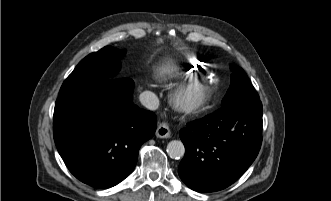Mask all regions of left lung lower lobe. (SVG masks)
Segmentation results:
<instances>
[{
  "label": "left lung lower lobe",
  "instance_id": "left-lung-lower-lobe-1",
  "mask_svg": "<svg viewBox=\"0 0 331 201\" xmlns=\"http://www.w3.org/2000/svg\"><path fill=\"white\" fill-rule=\"evenodd\" d=\"M260 99L223 106L192 121L179 135L185 155L178 167L181 180L201 192L222 190L252 164L262 143Z\"/></svg>",
  "mask_w": 331,
  "mask_h": 201
}]
</instances>
